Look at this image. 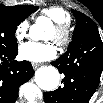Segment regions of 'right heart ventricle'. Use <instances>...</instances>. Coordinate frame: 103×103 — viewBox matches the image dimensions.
Instances as JSON below:
<instances>
[{
	"instance_id": "e07e8e85",
	"label": "right heart ventricle",
	"mask_w": 103,
	"mask_h": 103,
	"mask_svg": "<svg viewBox=\"0 0 103 103\" xmlns=\"http://www.w3.org/2000/svg\"><path fill=\"white\" fill-rule=\"evenodd\" d=\"M42 14L50 18L54 23L67 24L70 21L69 13L61 7L52 6L42 11Z\"/></svg>"
}]
</instances>
